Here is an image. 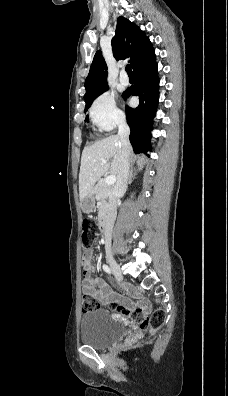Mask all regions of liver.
<instances>
[{"label": "liver", "instance_id": "liver-1", "mask_svg": "<svg viewBox=\"0 0 228 396\" xmlns=\"http://www.w3.org/2000/svg\"><path fill=\"white\" fill-rule=\"evenodd\" d=\"M122 156V144L119 136L111 135L86 146L82 152L79 172L80 201L94 191L95 183L107 172L118 179ZM111 159V163L102 160ZM144 158H140L142 164Z\"/></svg>", "mask_w": 228, "mask_h": 396}]
</instances>
